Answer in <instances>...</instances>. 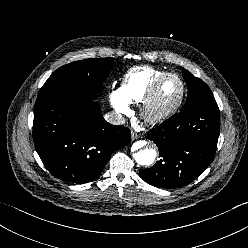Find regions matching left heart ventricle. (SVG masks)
Listing matches in <instances>:
<instances>
[{
    "mask_svg": "<svg viewBox=\"0 0 248 248\" xmlns=\"http://www.w3.org/2000/svg\"><path fill=\"white\" fill-rule=\"evenodd\" d=\"M180 92V81L176 77H168L159 89L157 104L159 106H168L174 103L178 99Z\"/></svg>",
    "mask_w": 248,
    "mask_h": 248,
    "instance_id": "left-heart-ventricle-1",
    "label": "left heart ventricle"
}]
</instances>
